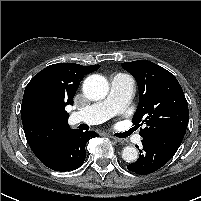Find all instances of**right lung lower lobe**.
<instances>
[{
	"instance_id": "98d812e1",
	"label": "right lung lower lobe",
	"mask_w": 201,
	"mask_h": 201,
	"mask_svg": "<svg viewBox=\"0 0 201 201\" xmlns=\"http://www.w3.org/2000/svg\"><path fill=\"white\" fill-rule=\"evenodd\" d=\"M94 132L71 130L48 147L34 152L48 168L55 171H69L80 167L86 157L85 146Z\"/></svg>"
}]
</instances>
